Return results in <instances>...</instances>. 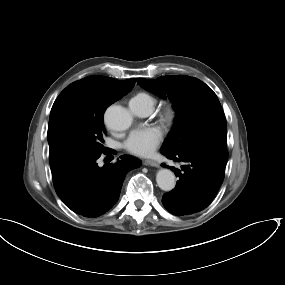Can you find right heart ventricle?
Masks as SVG:
<instances>
[{
  "label": "right heart ventricle",
  "mask_w": 285,
  "mask_h": 285,
  "mask_svg": "<svg viewBox=\"0 0 285 285\" xmlns=\"http://www.w3.org/2000/svg\"><path fill=\"white\" fill-rule=\"evenodd\" d=\"M133 98H140V99L150 102L152 106L154 105V99L147 93H139Z\"/></svg>",
  "instance_id": "obj_1"
}]
</instances>
